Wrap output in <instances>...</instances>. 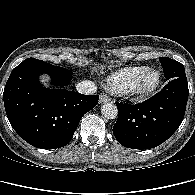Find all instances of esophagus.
<instances>
[{"mask_svg":"<svg viewBox=\"0 0 195 195\" xmlns=\"http://www.w3.org/2000/svg\"><path fill=\"white\" fill-rule=\"evenodd\" d=\"M110 101H111V98H109L107 95H105V94L100 95V98H99L100 104H104V103H107Z\"/></svg>","mask_w":195,"mask_h":195,"instance_id":"1","label":"esophagus"}]
</instances>
